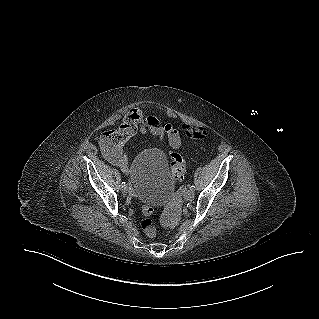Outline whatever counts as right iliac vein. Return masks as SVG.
I'll return each mask as SVG.
<instances>
[{"mask_svg": "<svg viewBox=\"0 0 319 319\" xmlns=\"http://www.w3.org/2000/svg\"><path fill=\"white\" fill-rule=\"evenodd\" d=\"M122 192H123L124 194H128V192H129V187H128L127 184H125L124 186H122Z\"/></svg>", "mask_w": 319, "mask_h": 319, "instance_id": "obj_1", "label": "right iliac vein"}]
</instances>
